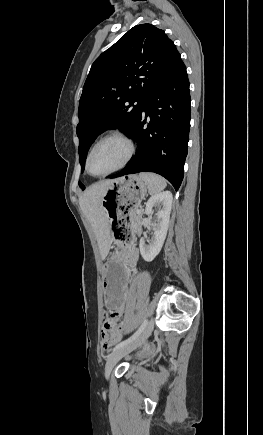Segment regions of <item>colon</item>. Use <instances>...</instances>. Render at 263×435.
<instances>
[{
    "label": "colon",
    "mask_w": 263,
    "mask_h": 435,
    "mask_svg": "<svg viewBox=\"0 0 263 435\" xmlns=\"http://www.w3.org/2000/svg\"><path fill=\"white\" fill-rule=\"evenodd\" d=\"M126 324L123 322V321H119L118 322V329H126L124 326H125ZM104 334H106V333H104L103 332V334H102V341H103V336H104ZM115 342L117 343V341L115 340Z\"/></svg>",
    "instance_id": "5ec220e1"
}]
</instances>
